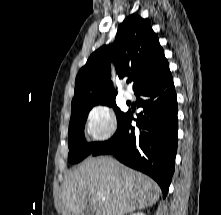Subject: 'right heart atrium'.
Returning <instances> with one entry per match:
<instances>
[{"label": "right heart atrium", "instance_id": "d8ad5b80", "mask_svg": "<svg viewBox=\"0 0 221 215\" xmlns=\"http://www.w3.org/2000/svg\"><path fill=\"white\" fill-rule=\"evenodd\" d=\"M87 129L96 141H105L115 133L117 121L114 111L105 104L95 105L87 114Z\"/></svg>", "mask_w": 221, "mask_h": 215}]
</instances>
